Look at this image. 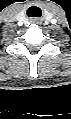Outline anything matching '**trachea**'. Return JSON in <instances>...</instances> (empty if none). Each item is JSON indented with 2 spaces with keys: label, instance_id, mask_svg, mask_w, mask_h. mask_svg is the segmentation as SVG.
<instances>
[{
  "label": "trachea",
  "instance_id": "obj_1",
  "mask_svg": "<svg viewBox=\"0 0 71 119\" xmlns=\"http://www.w3.org/2000/svg\"><path fill=\"white\" fill-rule=\"evenodd\" d=\"M35 8H37V7H31L30 9H29V12H31L33 9H35Z\"/></svg>",
  "mask_w": 71,
  "mask_h": 119
}]
</instances>
